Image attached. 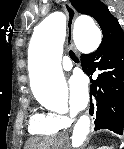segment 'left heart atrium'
Listing matches in <instances>:
<instances>
[{
    "label": "left heart atrium",
    "mask_w": 124,
    "mask_h": 149,
    "mask_svg": "<svg viewBox=\"0 0 124 149\" xmlns=\"http://www.w3.org/2000/svg\"><path fill=\"white\" fill-rule=\"evenodd\" d=\"M88 84L84 76L75 74L69 81V103L73 113L84 110L88 104Z\"/></svg>",
    "instance_id": "obj_1"
}]
</instances>
